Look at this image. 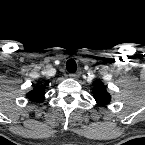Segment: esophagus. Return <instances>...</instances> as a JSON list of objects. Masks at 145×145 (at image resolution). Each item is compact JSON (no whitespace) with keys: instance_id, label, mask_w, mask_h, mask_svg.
I'll use <instances>...</instances> for the list:
<instances>
[{"instance_id":"obj_1","label":"esophagus","mask_w":145,"mask_h":145,"mask_svg":"<svg viewBox=\"0 0 145 145\" xmlns=\"http://www.w3.org/2000/svg\"><path fill=\"white\" fill-rule=\"evenodd\" d=\"M81 75V71H77L76 73H70L69 77L73 79H77Z\"/></svg>"}]
</instances>
